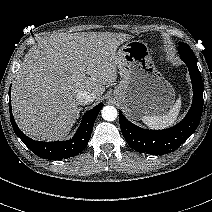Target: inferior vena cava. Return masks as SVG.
<instances>
[{
	"label": "inferior vena cava",
	"instance_id": "obj_1",
	"mask_svg": "<svg viewBox=\"0 0 212 212\" xmlns=\"http://www.w3.org/2000/svg\"><path fill=\"white\" fill-rule=\"evenodd\" d=\"M76 98L79 105H86L94 101L95 94L89 91L80 90L78 91Z\"/></svg>",
	"mask_w": 212,
	"mask_h": 212
}]
</instances>
